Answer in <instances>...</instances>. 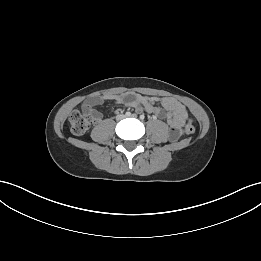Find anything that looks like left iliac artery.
<instances>
[{
	"instance_id": "left-iliac-artery-1",
	"label": "left iliac artery",
	"mask_w": 261,
	"mask_h": 261,
	"mask_svg": "<svg viewBox=\"0 0 261 261\" xmlns=\"http://www.w3.org/2000/svg\"><path fill=\"white\" fill-rule=\"evenodd\" d=\"M145 118L144 115H140V119L143 120Z\"/></svg>"
}]
</instances>
